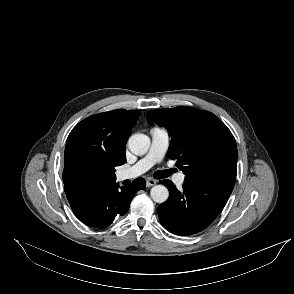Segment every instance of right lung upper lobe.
<instances>
[{
    "instance_id": "1",
    "label": "right lung upper lobe",
    "mask_w": 294,
    "mask_h": 294,
    "mask_svg": "<svg viewBox=\"0 0 294 294\" xmlns=\"http://www.w3.org/2000/svg\"><path fill=\"white\" fill-rule=\"evenodd\" d=\"M140 111L114 110L96 114L79 122L70 132L64 152V189L75 185L94 188L115 181V167L126 162L125 145ZM90 160L100 164L105 174L95 183H78L68 174L75 163Z\"/></svg>"
}]
</instances>
